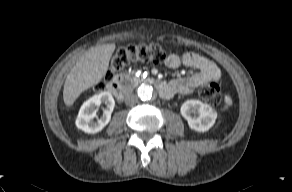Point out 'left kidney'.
Listing matches in <instances>:
<instances>
[{"mask_svg":"<svg viewBox=\"0 0 292 192\" xmlns=\"http://www.w3.org/2000/svg\"><path fill=\"white\" fill-rule=\"evenodd\" d=\"M181 115L187 120L189 127L197 132H206L214 124L217 118V112L199 100H187L180 108ZM198 113V116L192 114Z\"/></svg>","mask_w":292,"mask_h":192,"instance_id":"left-kidney-1","label":"left kidney"}]
</instances>
